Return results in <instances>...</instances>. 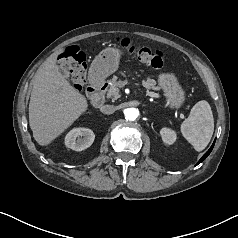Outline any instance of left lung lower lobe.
I'll return each instance as SVG.
<instances>
[{"label":"left lung lower lobe","mask_w":238,"mask_h":238,"mask_svg":"<svg viewBox=\"0 0 238 238\" xmlns=\"http://www.w3.org/2000/svg\"><path fill=\"white\" fill-rule=\"evenodd\" d=\"M214 143H215V141H214ZM214 143H213V145L210 147V149L203 155V157L199 160V162H198L197 164L201 163L203 160L206 159V157H207V156L210 154V152L212 151V149H213V147H214Z\"/></svg>","instance_id":"1"}]
</instances>
